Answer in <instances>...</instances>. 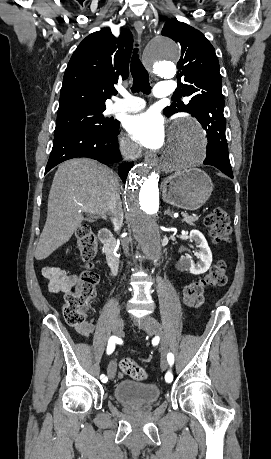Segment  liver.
<instances>
[{"instance_id":"6515ba94","label":"liver","mask_w":271,"mask_h":459,"mask_svg":"<svg viewBox=\"0 0 271 459\" xmlns=\"http://www.w3.org/2000/svg\"><path fill=\"white\" fill-rule=\"evenodd\" d=\"M115 178L110 168L89 158L60 164L49 192L47 220L35 249L36 259H45L70 239L84 220L82 212L96 220L104 216Z\"/></svg>"}]
</instances>
